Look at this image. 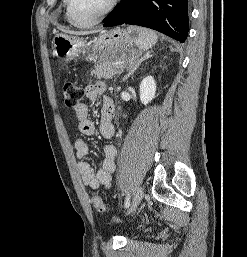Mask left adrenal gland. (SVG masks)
<instances>
[{
  "mask_svg": "<svg viewBox=\"0 0 247 257\" xmlns=\"http://www.w3.org/2000/svg\"><path fill=\"white\" fill-rule=\"evenodd\" d=\"M152 57V55L150 54V52H146L144 54V56L139 59L136 63H134L132 66H131V69L129 70V72L127 73V75L124 76L123 80L122 81H126L131 75H133V73L137 70V68L139 67V65L146 59Z\"/></svg>",
  "mask_w": 247,
  "mask_h": 257,
  "instance_id": "1",
  "label": "left adrenal gland"
}]
</instances>
